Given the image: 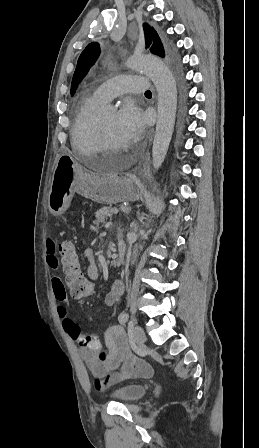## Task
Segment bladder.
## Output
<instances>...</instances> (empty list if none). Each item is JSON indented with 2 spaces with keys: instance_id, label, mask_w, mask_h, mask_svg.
Listing matches in <instances>:
<instances>
[{
  "instance_id": "obj_1",
  "label": "bladder",
  "mask_w": 259,
  "mask_h": 448,
  "mask_svg": "<svg viewBox=\"0 0 259 448\" xmlns=\"http://www.w3.org/2000/svg\"><path fill=\"white\" fill-rule=\"evenodd\" d=\"M147 387L141 384H129L117 387L111 391V396L123 403H134L143 398Z\"/></svg>"
}]
</instances>
